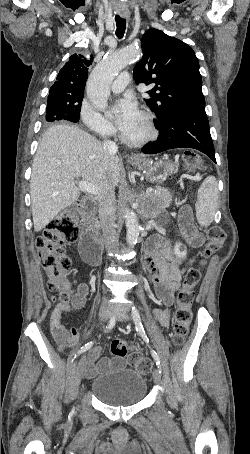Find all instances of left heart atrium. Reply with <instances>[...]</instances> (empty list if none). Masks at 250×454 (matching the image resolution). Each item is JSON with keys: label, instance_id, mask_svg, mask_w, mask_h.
Instances as JSON below:
<instances>
[{"label": "left heart atrium", "instance_id": "1", "mask_svg": "<svg viewBox=\"0 0 250 454\" xmlns=\"http://www.w3.org/2000/svg\"><path fill=\"white\" fill-rule=\"evenodd\" d=\"M116 107L118 110L116 124L118 128L124 132L137 120L140 112L136 102L130 97L119 100Z\"/></svg>", "mask_w": 250, "mask_h": 454}]
</instances>
